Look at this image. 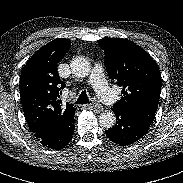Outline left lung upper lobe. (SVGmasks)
<instances>
[{"label":"left lung upper lobe","mask_w":183,"mask_h":183,"mask_svg":"<svg viewBox=\"0 0 183 183\" xmlns=\"http://www.w3.org/2000/svg\"><path fill=\"white\" fill-rule=\"evenodd\" d=\"M98 44L104 51L110 78L122 87V98L112 109L152 122L161 91V74L155 60L127 39L106 37Z\"/></svg>","instance_id":"1"}]
</instances>
